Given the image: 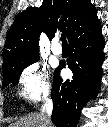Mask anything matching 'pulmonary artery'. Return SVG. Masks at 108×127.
Here are the masks:
<instances>
[{
  "label": "pulmonary artery",
  "mask_w": 108,
  "mask_h": 127,
  "mask_svg": "<svg viewBox=\"0 0 108 127\" xmlns=\"http://www.w3.org/2000/svg\"><path fill=\"white\" fill-rule=\"evenodd\" d=\"M52 52L54 55H61L62 54V47L61 45L58 43V41H54L53 45H52Z\"/></svg>",
  "instance_id": "1"
}]
</instances>
